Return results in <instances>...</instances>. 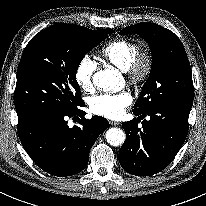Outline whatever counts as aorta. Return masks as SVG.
<instances>
[{
  "mask_svg": "<svg viewBox=\"0 0 206 206\" xmlns=\"http://www.w3.org/2000/svg\"><path fill=\"white\" fill-rule=\"evenodd\" d=\"M119 80L118 72L115 69L98 71L93 76L95 86L103 90L114 89ZM105 136L107 142L112 146H120L125 141V133L117 127L108 129Z\"/></svg>",
  "mask_w": 206,
  "mask_h": 206,
  "instance_id": "762f6f07",
  "label": "aorta"
}]
</instances>
